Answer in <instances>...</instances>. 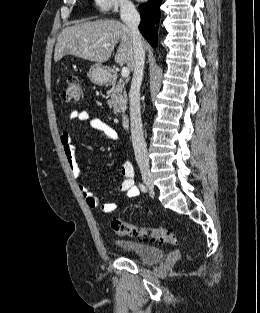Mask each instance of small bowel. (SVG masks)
Listing matches in <instances>:
<instances>
[{
	"label": "small bowel",
	"mask_w": 260,
	"mask_h": 313,
	"mask_svg": "<svg viewBox=\"0 0 260 313\" xmlns=\"http://www.w3.org/2000/svg\"><path fill=\"white\" fill-rule=\"evenodd\" d=\"M70 120H78L87 122L90 126L102 132L107 138L117 140L118 134L116 130L104 122L103 120L93 117L88 111L85 110H72L69 114ZM63 154L67 165L75 178L80 176V168L75 157V149L71 144V135L68 131H63L60 136ZM122 182L120 184V192L132 198L138 195V190L134 185V168L128 160L122 162ZM78 190L82 197L85 199L86 204L90 208H100L104 213H111L116 208L115 202H108L101 204L100 200L89 190V188L82 183L78 184Z\"/></svg>",
	"instance_id": "small-bowel-1"
}]
</instances>
